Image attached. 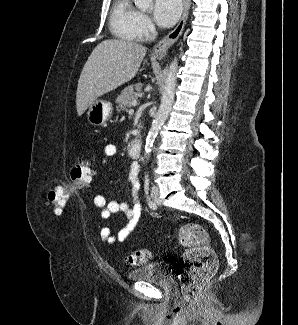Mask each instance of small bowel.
Returning a JSON list of instances; mask_svg holds the SVG:
<instances>
[{
    "label": "small bowel",
    "mask_w": 298,
    "mask_h": 325,
    "mask_svg": "<svg viewBox=\"0 0 298 325\" xmlns=\"http://www.w3.org/2000/svg\"><path fill=\"white\" fill-rule=\"evenodd\" d=\"M117 153V147L113 144H108L104 147L103 157L101 159L102 165H106L109 159L115 156ZM139 171L140 167L137 162H133L130 166L129 174L126 179V186L129 188L132 196V204L130 205L126 201H109L103 195H96L94 197V204L98 207L100 215L103 219H108L112 214L116 212H122L128 222L124 228L118 233H112L109 227H103L100 231V238L103 242L113 245L116 242H123L137 227L141 217L143 204L139 198Z\"/></svg>",
    "instance_id": "1"
}]
</instances>
